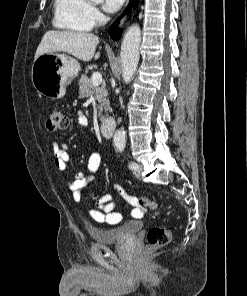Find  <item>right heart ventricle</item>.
Listing matches in <instances>:
<instances>
[{
	"instance_id": "e07e8e85",
	"label": "right heart ventricle",
	"mask_w": 247,
	"mask_h": 296,
	"mask_svg": "<svg viewBox=\"0 0 247 296\" xmlns=\"http://www.w3.org/2000/svg\"><path fill=\"white\" fill-rule=\"evenodd\" d=\"M88 5V0H54V26L74 32L90 31L93 25L87 15Z\"/></svg>"
}]
</instances>
